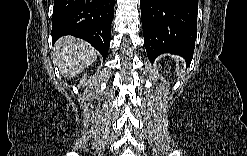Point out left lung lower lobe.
Instances as JSON below:
<instances>
[{"label":"left lung lower lobe","instance_id":"1","mask_svg":"<svg viewBox=\"0 0 247 156\" xmlns=\"http://www.w3.org/2000/svg\"><path fill=\"white\" fill-rule=\"evenodd\" d=\"M144 46L151 62L163 53L193 57L197 0H140Z\"/></svg>","mask_w":247,"mask_h":156}]
</instances>
